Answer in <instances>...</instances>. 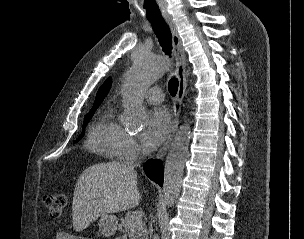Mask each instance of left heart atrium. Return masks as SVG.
<instances>
[{
	"label": "left heart atrium",
	"mask_w": 304,
	"mask_h": 239,
	"mask_svg": "<svg viewBox=\"0 0 304 239\" xmlns=\"http://www.w3.org/2000/svg\"><path fill=\"white\" fill-rule=\"evenodd\" d=\"M171 124V117L167 109L158 108L154 110L142 136L144 147L147 150L158 147L169 133Z\"/></svg>",
	"instance_id": "obj_1"
}]
</instances>
